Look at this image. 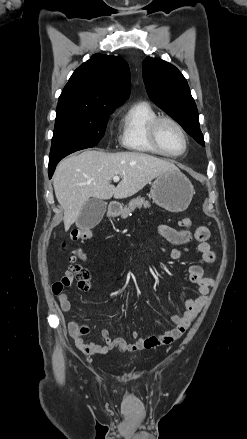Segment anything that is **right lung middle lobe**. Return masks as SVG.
Listing matches in <instances>:
<instances>
[{
  "label": "right lung middle lobe",
  "instance_id": "right-lung-middle-lobe-1",
  "mask_svg": "<svg viewBox=\"0 0 247 439\" xmlns=\"http://www.w3.org/2000/svg\"><path fill=\"white\" fill-rule=\"evenodd\" d=\"M114 110L57 109L49 166L56 165L73 152L96 146L103 137L108 117Z\"/></svg>",
  "mask_w": 247,
  "mask_h": 439
}]
</instances>
